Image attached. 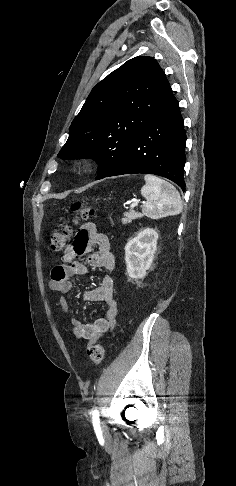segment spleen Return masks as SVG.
I'll list each match as a JSON object with an SVG mask.
<instances>
[{
	"instance_id": "3e777b00",
	"label": "spleen",
	"mask_w": 236,
	"mask_h": 486,
	"mask_svg": "<svg viewBox=\"0 0 236 486\" xmlns=\"http://www.w3.org/2000/svg\"><path fill=\"white\" fill-rule=\"evenodd\" d=\"M144 179L146 184L141 188V194L146 199L142 207L144 215L160 218L181 213V197L172 184L150 174L145 175Z\"/></svg>"
}]
</instances>
